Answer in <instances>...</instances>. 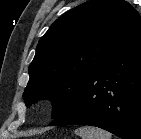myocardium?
I'll return each mask as SVG.
<instances>
[{
  "mask_svg": "<svg viewBox=\"0 0 141 139\" xmlns=\"http://www.w3.org/2000/svg\"><path fill=\"white\" fill-rule=\"evenodd\" d=\"M52 102V97L48 94H43L38 98L37 106L39 109H46Z\"/></svg>",
  "mask_w": 141,
  "mask_h": 139,
  "instance_id": "1",
  "label": "myocardium"
}]
</instances>
